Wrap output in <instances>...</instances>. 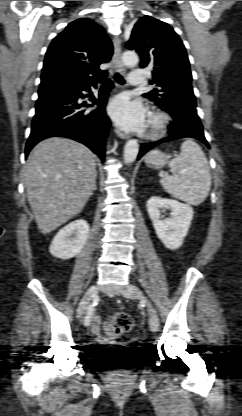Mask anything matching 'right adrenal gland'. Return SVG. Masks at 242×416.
<instances>
[{"label":"right adrenal gland","instance_id":"obj_1","mask_svg":"<svg viewBox=\"0 0 242 416\" xmlns=\"http://www.w3.org/2000/svg\"><path fill=\"white\" fill-rule=\"evenodd\" d=\"M95 190H97V186H96V184L94 185V191H95Z\"/></svg>","mask_w":242,"mask_h":416}]
</instances>
